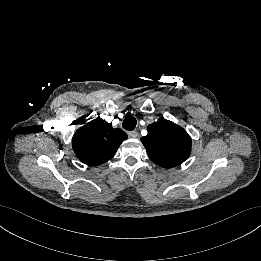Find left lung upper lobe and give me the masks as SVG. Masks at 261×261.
Returning <instances> with one entry per match:
<instances>
[{"mask_svg":"<svg viewBox=\"0 0 261 261\" xmlns=\"http://www.w3.org/2000/svg\"><path fill=\"white\" fill-rule=\"evenodd\" d=\"M141 138L150 159L164 168L183 163L191 152V138L179 125L169 120H158L147 127Z\"/></svg>","mask_w":261,"mask_h":261,"instance_id":"5c2ea615","label":"left lung upper lobe"}]
</instances>
